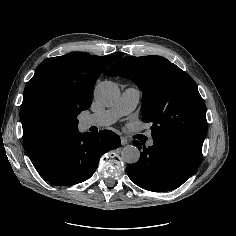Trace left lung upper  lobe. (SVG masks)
Wrapping results in <instances>:
<instances>
[{"mask_svg":"<svg viewBox=\"0 0 236 236\" xmlns=\"http://www.w3.org/2000/svg\"><path fill=\"white\" fill-rule=\"evenodd\" d=\"M134 81L142 90L144 122L152 137L165 136L202 149L206 107L194 80L161 56L125 57L105 72Z\"/></svg>","mask_w":236,"mask_h":236,"instance_id":"obj_1","label":"left lung upper lobe"}]
</instances>
